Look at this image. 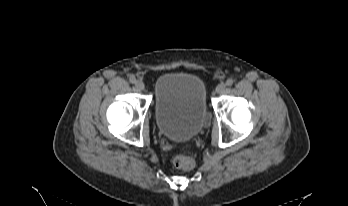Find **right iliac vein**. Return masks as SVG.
Returning <instances> with one entry per match:
<instances>
[{"instance_id":"right-iliac-vein-1","label":"right iliac vein","mask_w":348,"mask_h":206,"mask_svg":"<svg viewBox=\"0 0 348 206\" xmlns=\"http://www.w3.org/2000/svg\"><path fill=\"white\" fill-rule=\"evenodd\" d=\"M135 87L137 90L142 91L145 88V85L142 81L138 80L135 82Z\"/></svg>"}]
</instances>
